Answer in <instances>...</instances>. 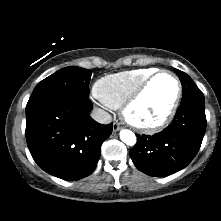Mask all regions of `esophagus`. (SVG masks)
Segmentation results:
<instances>
[{
	"instance_id": "1",
	"label": "esophagus",
	"mask_w": 221,
	"mask_h": 221,
	"mask_svg": "<svg viewBox=\"0 0 221 221\" xmlns=\"http://www.w3.org/2000/svg\"><path fill=\"white\" fill-rule=\"evenodd\" d=\"M121 125L119 122H114L113 123V131L116 132V131H119L121 129Z\"/></svg>"
}]
</instances>
